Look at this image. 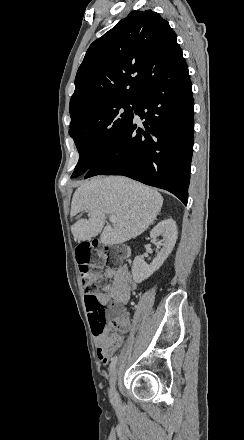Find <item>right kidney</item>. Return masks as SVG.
Wrapping results in <instances>:
<instances>
[{
    "label": "right kidney",
    "mask_w": 244,
    "mask_h": 440,
    "mask_svg": "<svg viewBox=\"0 0 244 440\" xmlns=\"http://www.w3.org/2000/svg\"><path fill=\"white\" fill-rule=\"evenodd\" d=\"M158 236H163L164 244H161V242L158 244V246H163V248L158 252L152 264L148 266V264L144 262L143 256H136L133 262L132 276L136 284H141L143 280H147L149 276H152L156 270H159L163 262L167 260L169 254H171L177 240L176 222H174L172 218H167V220L159 222L150 232V238H152V240H156Z\"/></svg>",
    "instance_id": "1"
}]
</instances>
